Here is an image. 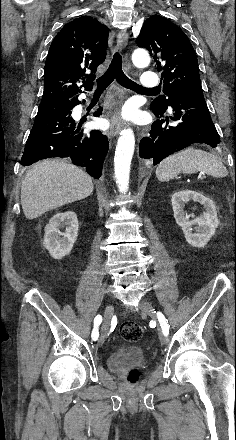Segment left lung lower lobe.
Here are the masks:
<instances>
[{
    "instance_id": "obj_1",
    "label": "left lung lower lobe",
    "mask_w": 236,
    "mask_h": 440,
    "mask_svg": "<svg viewBox=\"0 0 236 440\" xmlns=\"http://www.w3.org/2000/svg\"><path fill=\"white\" fill-rule=\"evenodd\" d=\"M171 114L153 111L158 118L139 144L141 158L158 164L188 146L205 143L216 147L219 134L212 122L202 89L177 95L170 103Z\"/></svg>"
}]
</instances>
